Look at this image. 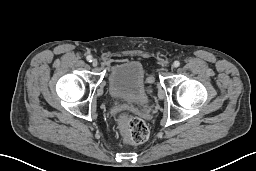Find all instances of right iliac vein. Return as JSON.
<instances>
[{
    "label": "right iliac vein",
    "instance_id": "1",
    "mask_svg": "<svg viewBox=\"0 0 256 171\" xmlns=\"http://www.w3.org/2000/svg\"><path fill=\"white\" fill-rule=\"evenodd\" d=\"M97 64H98V63H97V60H96V59H93V60H92V65H93L94 67H96Z\"/></svg>",
    "mask_w": 256,
    "mask_h": 171
}]
</instances>
